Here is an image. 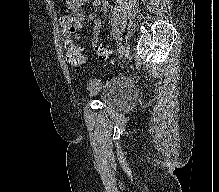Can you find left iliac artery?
<instances>
[{
    "label": "left iliac artery",
    "instance_id": "left-iliac-artery-1",
    "mask_svg": "<svg viewBox=\"0 0 219 192\" xmlns=\"http://www.w3.org/2000/svg\"><path fill=\"white\" fill-rule=\"evenodd\" d=\"M120 51H121V45H120V43H118L117 44V52L120 53Z\"/></svg>",
    "mask_w": 219,
    "mask_h": 192
}]
</instances>
